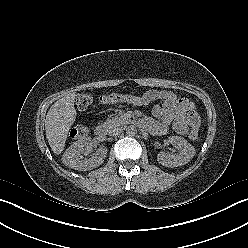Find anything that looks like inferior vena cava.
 I'll use <instances>...</instances> for the list:
<instances>
[{"label":"inferior vena cava","mask_w":248,"mask_h":248,"mask_svg":"<svg viewBox=\"0 0 248 248\" xmlns=\"http://www.w3.org/2000/svg\"><path fill=\"white\" fill-rule=\"evenodd\" d=\"M122 131H123V129H122L121 127H117V128L112 129V130L109 132V134H110L111 136H118V135H120V134L122 133Z\"/></svg>","instance_id":"inferior-vena-cava-1"}]
</instances>
